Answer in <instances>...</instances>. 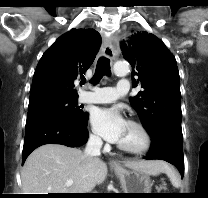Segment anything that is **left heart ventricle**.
Segmentation results:
<instances>
[{"mask_svg": "<svg viewBox=\"0 0 208 198\" xmlns=\"http://www.w3.org/2000/svg\"><path fill=\"white\" fill-rule=\"evenodd\" d=\"M142 142L143 140L139 130L127 123L118 143L128 147H139Z\"/></svg>", "mask_w": 208, "mask_h": 198, "instance_id": "b2bd125f", "label": "left heart ventricle"}]
</instances>
